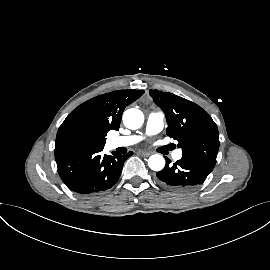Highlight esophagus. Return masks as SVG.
<instances>
[{"mask_svg": "<svg viewBox=\"0 0 270 270\" xmlns=\"http://www.w3.org/2000/svg\"><path fill=\"white\" fill-rule=\"evenodd\" d=\"M139 154L144 156V157L150 156V152H146V151H140Z\"/></svg>", "mask_w": 270, "mask_h": 270, "instance_id": "esophagus-1", "label": "esophagus"}]
</instances>
